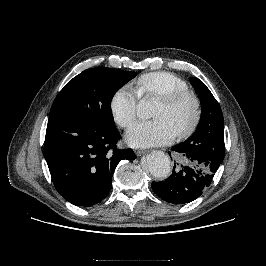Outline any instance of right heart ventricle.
<instances>
[{
	"label": "right heart ventricle",
	"mask_w": 266,
	"mask_h": 266,
	"mask_svg": "<svg viewBox=\"0 0 266 266\" xmlns=\"http://www.w3.org/2000/svg\"><path fill=\"white\" fill-rule=\"evenodd\" d=\"M134 85L140 97L158 99L170 93L189 90V85L185 80L166 71L143 74L136 79Z\"/></svg>",
	"instance_id": "obj_1"
}]
</instances>
